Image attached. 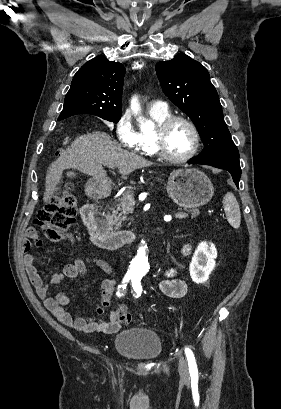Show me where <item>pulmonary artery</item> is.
Returning <instances> with one entry per match:
<instances>
[{"label":"pulmonary artery","instance_id":"1","mask_svg":"<svg viewBox=\"0 0 281 409\" xmlns=\"http://www.w3.org/2000/svg\"><path fill=\"white\" fill-rule=\"evenodd\" d=\"M153 109L154 111H165L166 109V104L162 98H159L157 102H154L153 104Z\"/></svg>","mask_w":281,"mask_h":409}]
</instances>
